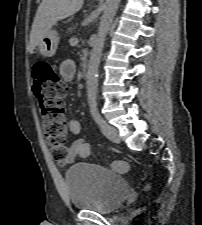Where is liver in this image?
Here are the masks:
<instances>
[{"mask_svg":"<svg viewBox=\"0 0 202 225\" xmlns=\"http://www.w3.org/2000/svg\"><path fill=\"white\" fill-rule=\"evenodd\" d=\"M84 0H42L38 7L30 34L29 51L36 48L45 33L58 21L77 13Z\"/></svg>","mask_w":202,"mask_h":225,"instance_id":"liver-1","label":"liver"}]
</instances>
